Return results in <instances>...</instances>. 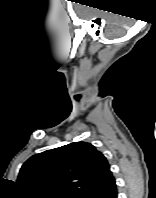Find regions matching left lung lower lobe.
I'll return each mask as SVG.
<instances>
[{
  "instance_id": "1",
  "label": "left lung lower lobe",
  "mask_w": 156,
  "mask_h": 198,
  "mask_svg": "<svg viewBox=\"0 0 156 198\" xmlns=\"http://www.w3.org/2000/svg\"><path fill=\"white\" fill-rule=\"evenodd\" d=\"M86 198H117V188L112 173L98 189L88 194Z\"/></svg>"
}]
</instances>
